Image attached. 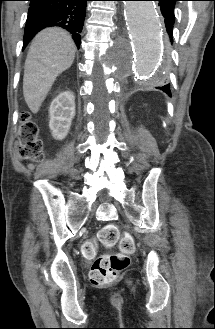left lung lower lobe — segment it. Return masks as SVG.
<instances>
[{"label": "left lung lower lobe", "instance_id": "obj_1", "mask_svg": "<svg viewBox=\"0 0 215 329\" xmlns=\"http://www.w3.org/2000/svg\"><path fill=\"white\" fill-rule=\"evenodd\" d=\"M159 2L161 13L164 17L166 31L169 36L171 44L173 43V25L175 21V15H174V6L176 1L179 0H156ZM156 89L162 90L163 92L167 93L169 96H171L170 91V85H161L159 87H156Z\"/></svg>", "mask_w": 215, "mask_h": 329}]
</instances>
